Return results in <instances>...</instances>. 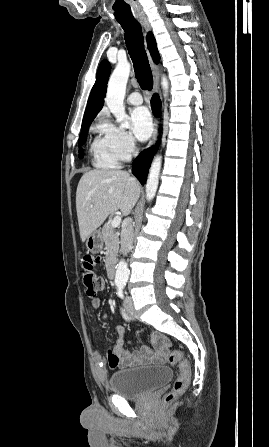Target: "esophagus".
Returning <instances> with one entry per match:
<instances>
[{
    "instance_id": "obj_1",
    "label": "esophagus",
    "mask_w": 269,
    "mask_h": 447,
    "mask_svg": "<svg viewBox=\"0 0 269 447\" xmlns=\"http://www.w3.org/2000/svg\"><path fill=\"white\" fill-rule=\"evenodd\" d=\"M138 20L141 23V25L144 27V30L146 32H149L151 30V26H150V23H149L146 15H141ZM148 57H149V61H150L152 74L154 77L153 93H155V92H158V65L153 63V60H152L149 52H148ZM157 131H158V122H157V120H155V131H154L151 141L149 142V145L153 144L156 141Z\"/></svg>"
}]
</instances>
